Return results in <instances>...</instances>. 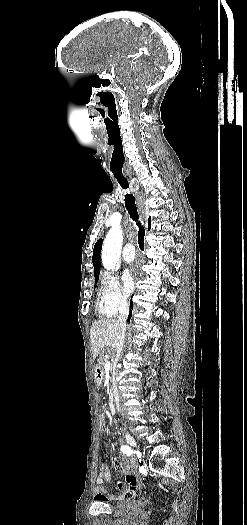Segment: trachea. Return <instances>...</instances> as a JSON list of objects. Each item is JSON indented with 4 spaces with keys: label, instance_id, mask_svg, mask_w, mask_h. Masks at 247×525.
<instances>
[{
    "label": "trachea",
    "instance_id": "obj_1",
    "mask_svg": "<svg viewBox=\"0 0 247 525\" xmlns=\"http://www.w3.org/2000/svg\"><path fill=\"white\" fill-rule=\"evenodd\" d=\"M118 183L121 185V187L124 190H127L129 187V184L127 181H118ZM125 206L126 209L130 215V217L137 222V225L139 227L138 232V245L140 247V250H144V237H145V230L143 226L141 225L139 221V215L136 207L135 197L131 193H126L125 195Z\"/></svg>",
    "mask_w": 247,
    "mask_h": 525
}]
</instances>
